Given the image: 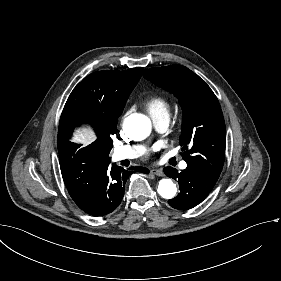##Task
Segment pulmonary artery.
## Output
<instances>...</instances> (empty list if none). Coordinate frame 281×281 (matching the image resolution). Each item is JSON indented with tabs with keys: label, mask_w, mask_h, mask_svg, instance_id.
I'll return each mask as SVG.
<instances>
[{
	"label": "pulmonary artery",
	"mask_w": 281,
	"mask_h": 281,
	"mask_svg": "<svg viewBox=\"0 0 281 281\" xmlns=\"http://www.w3.org/2000/svg\"><path fill=\"white\" fill-rule=\"evenodd\" d=\"M155 125L164 129L168 125V115H160L153 118ZM141 150L139 147H116L112 152V158L114 161H121L125 159H133L140 154ZM181 169L187 168V163L185 161L180 164Z\"/></svg>",
	"instance_id": "obj_1"
}]
</instances>
